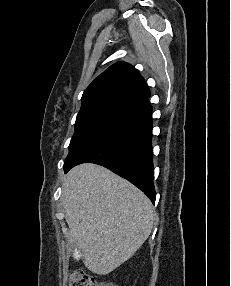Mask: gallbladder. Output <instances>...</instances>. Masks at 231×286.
<instances>
[{"label": "gallbladder", "mask_w": 231, "mask_h": 286, "mask_svg": "<svg viewBox=\"0 0 231 286\" xmlns=\"http://www.w3.org/2000/svg\"><path fill=\"white\" fill-rule=\"evenodd\" d=\"M73 242H80V241H73ZM73 248H81L78 246H71ZM74 250H81V249H74ZM73 254H80V251H73ZM73 257H80L79 255H72Z\"/></svg>", "instance_id": "obj_1"}]
</instances>
